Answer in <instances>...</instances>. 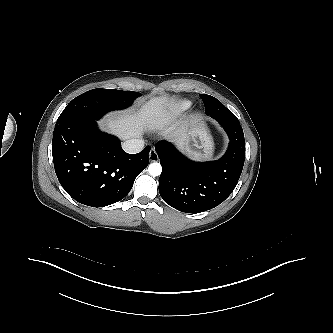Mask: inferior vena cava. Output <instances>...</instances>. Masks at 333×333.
<instances>
[{"instance_id":"602c4592","label":"inferior vena cava","mask_w":333,"mask_h":333,"mask_svg":"<svg viewBox=\"0 0 333 333\" xmlns=\"http://www.w3.org/2000/svg\"><path fill=\"white\" fill-rule=\"evenodd\" d=\"M122 148L129 154L139 153L144 148V141L142 139H130L122 144Z\"/></svg>"}]
</instances>
